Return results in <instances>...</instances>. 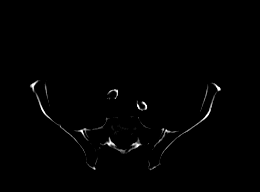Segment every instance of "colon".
I'll use <instances>...</instances> for the list:
<instances>
[{
    "instance_id": "5ec220e1",
    "label": "colon",
    "mask_w": 260,
    "mask_h": 192,
    "mask_svg": "<svg viewBox=\"0 0 260 192\" xmlns=\"http://www.w3.org/2000/svg\"><path fill=\"white\" fill-rule=\"evenodd\" d=\"M66 68L69 78L74 80H85L88 72L80 60L71 58L66 62Z\"/></svg>"
}]
</instances>
